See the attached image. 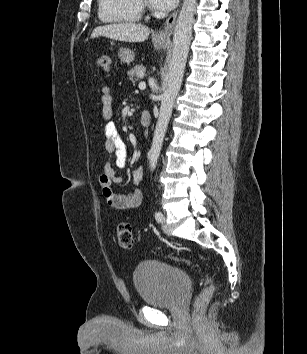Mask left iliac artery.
Here are the masks:
<instances>
[{
    "label": "left iliac artery",
    "instance_id": "44dca946",
    "mask_svg": "<svg viewBox=\"0 0 307 354\" xmlns=\"http://www.w3.org/2000/svg\"><path fill=\"white\" fill-rule=\"evenodd\" d=\"M155 219H156L157 222H162L163 219H164V216H163V214L161 212L158 211V212L155 213Z\"/></svg>",
    "mask_w": 307,
    "mask_h": 354
}]
</instances>
